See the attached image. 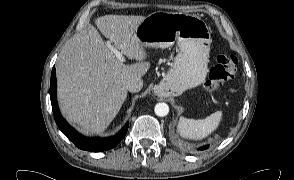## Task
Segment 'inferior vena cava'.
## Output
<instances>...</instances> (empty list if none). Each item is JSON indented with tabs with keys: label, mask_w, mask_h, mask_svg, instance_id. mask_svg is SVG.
<instances>
[{
	"label": "inferior vena cava",
	"mask_w": 294,
	"mask_h": 180,
	"mask_svg": "<svg viewBox=\"0 0 294 180\" xmlns=\"http://www.w3.org/2000/svg\"><path fill=\"white\" fill-rule=\"evenodd\" d=\"M143 87V80L141 78H132L126 84V89L129 92H139Z\"/></svg>",
	"instance_id": "inferior-vena-cava-1"
}]
</instances>
